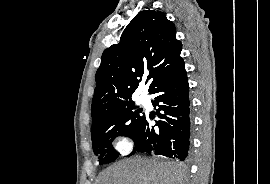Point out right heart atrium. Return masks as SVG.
Wrapping results in <instances>:
<instances>
[{
	"instance_id": "1",
	"label": "right heart atrium",
	"mask_w": 270,
	"mask_h": 184,
	"mask_svg": "<svg viewBox=\"0 0 270 184\" xmlns=\"http://www.w3.org/2000/svg\"><path fill=\"white\" fill-rule=\"evenodd\" d=\"M113 147L116 152L120 154H127L133 147V142L130 137L125 133H120L115 136Z\"/></svg>"
}]
</instances>
